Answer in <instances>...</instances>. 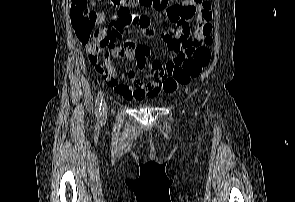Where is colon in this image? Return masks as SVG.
Instances as JSON below:
<instances>
[{
	"instance_id": "5ec220e1",
	"label": "colon",
	"mask_w": 295,
	"mask_h": 202,
	"mask_svg": "<svg viewBox=\"0 0 295 202\" xmlns=\"http://www.w3.org/2000/svg\"><path fill=\"white\" fill-rule=\"evenodd\" d=\"M166 3L167 0H109L108 6L113 10V14L108 20V25L113 19H121L126 21L127 27L131 17L129 7L133 4L160 8ZM72 14L74 29L80 43L86 47L103 49L107 39L100 35V26L95 27L94 22L81 12L73 10ZM211 44L212 37L206 34L200 46L182 51L176 62L169 63L163 72L161 88L165 92H174L179 86L188 85L197 78L210 62L211 53L208 46Z\"/></svg>"
}]
</instances>
